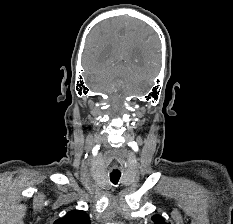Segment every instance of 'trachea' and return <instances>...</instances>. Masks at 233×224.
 I'll use <instances>...</instances> for the list:
<instances>
[{"label": "trachea", "instance_id": "3493384b", "mask_svg": "<svg viewBox=\"0 0 233 224\" xmlns=\"http://www.w3.org/2000/svg\"><path fill=\"white\" fill-rule=\"evenodd\" d=\"M120 177H121V173L120 172H112V173H110V180L115 185L118 183Z\"/></svg>", "mask_w": 233, "mask_h": 224}]
</instances>
